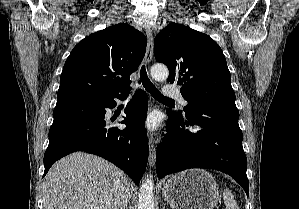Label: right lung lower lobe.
Listing matches in <instances>:
<instances>
[{"instance_id":"obj_1","label":"right lung lower lobe","mask_w":299,"mask_h":209,"mask_svg":"<svg viewBox=\"0 0 299 209\" xmlns=\"http://www.w3.org/2000/svg\"><path fill=\"white\" fill-rule=\"evenodd\" d=\"M127 93L106 97L57 99L53 111L54 121L49 130V145L44 154L46 175L60 158L76 151L101 156L139 184L148 161V139L144 127L147 115V94L138 90L125 109L118 129L105 120L106 108H114V98L125 99Z\"/></svg>"}]
</instances>
